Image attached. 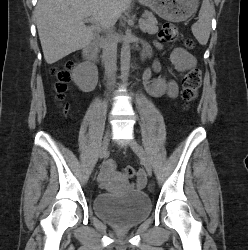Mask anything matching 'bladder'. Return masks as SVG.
I'll use <instances>...</instances> for the list:
<instances>
[{
    "instance_id": "1",
    "label": "bladder",
    "mask_w": 248,
    "mask_h": 250,
    "mask_svg": "<svg viewBox=\"0 0 248 250\" xmlns=\"http://www.w3.org/2000/svg\"><path fill=\"white\" fill-rule=\"evenodd\" d=\"M94 211L100 218L119 228L133 227L146 219L152 209L150 198L143 191L129 190L116 195L105 192L95 197Z\"/></svg>"
}]
</instances>
